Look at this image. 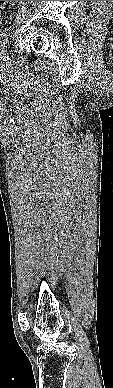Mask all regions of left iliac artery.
<instances>
[{
    "mask_svg": "<svg viewBox=\"0 0 113 388\" xmlns=\"http://www.w3.org/2000/svg\"><path fill=\"white\" fill-rule=\"evenodd\" d=\"M10 30V26H7L0 34V54L6 51Z\"/></svg>",
    "mask_w": 113,
    "mask_h": 388,
    "instance_id": "obj_1",
    "label": "left iliac artery"
}]
</instances>
